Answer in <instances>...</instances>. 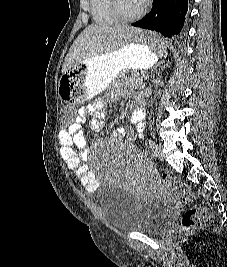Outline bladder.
<instances>
[{"label": "bladder", "mask_w": 227, "mask_h": 267, "mask_svg": "<svg viewBox=\"0 0 227 267\" xmlns=\"http://www.w3.org/2000/svg\"><path fill=\"white\" fill-rule=\"evenodd\" d=\"M104 189L106 194H99V204L110 226L147 234L163 232L171 212L154 196H135L114 185Z\"/></svg>", "instance_id": "bladder-1"}]
</instances>
